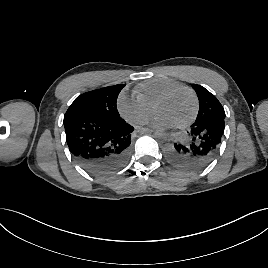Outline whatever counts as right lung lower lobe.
Returning a JSON list of instances; mask_svg holds the SVG:
<instances>
[{"mask_svg":"<svg viewBox=\"0 0 268 268\" xmlns=\"http://www.w3.org/2000/svg\"><path fill=\"white\" fill-rule=\"evenodd\" d=\"M63 123L69 150L87 172L105 176L127 161L134 128L120 116L106 118L81 113Z\"/></svg>","mask_w":268,"mask_h":268,"instance_id":"98d812e1","label":"right lung lower lobe"}]
</instances>
